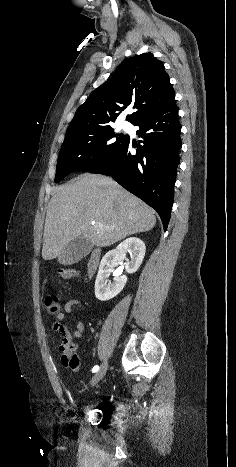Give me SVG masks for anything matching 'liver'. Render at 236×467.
Here are the masks:
<instances>
[{
    "instance_id": "liver-1",
    "label": "liver",
    "mask_w": 236,
    "mask_h": 467,
    "mask_svg": "<svg viewBox=\"0 0 236 467\" xmlns=\"http://www.w3.org/2000/svg\"><path fill=\"white\" fill-rule=\"evenodd\" d=\"M155 224L154 210L142 200L107 176L85 173L55 190L47 208L42 258L58 257L76 238L106 247Z\"/></svg>"
}]
</instances>
